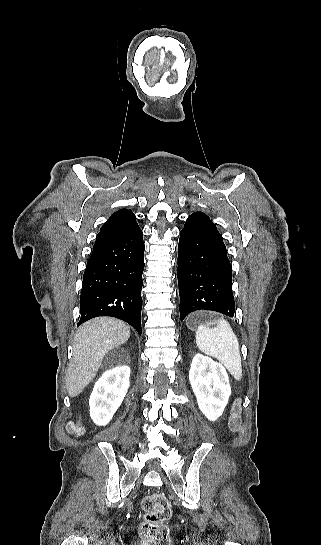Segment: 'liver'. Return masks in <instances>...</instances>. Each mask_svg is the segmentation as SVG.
Returning <instances> with one entry per match:
<instances>
[{
	"label": "liver",
	"instance_id": "obj_1",
	"mask_svg": "<svg viewBox=\"0 0 321 545\" xmlns=\"http://www.w3.org/2000/svg\"><path fill=\"white\" fill-rule=\"evenodd\" d=\"M130 327L111 317H97L79 327L73 341V357L66 373L69 397H77L96 377L106 353L130 337Z\"/></svg>",
	"mask_w": 321,
	"mask_h": 545
}]
</instances>
